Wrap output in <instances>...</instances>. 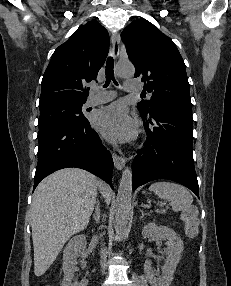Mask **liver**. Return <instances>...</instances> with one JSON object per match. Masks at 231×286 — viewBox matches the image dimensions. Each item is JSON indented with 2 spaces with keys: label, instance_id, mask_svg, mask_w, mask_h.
I'll list each match as a JSON object with an SVG mask.
<instances>
[{
  "label": "liver",
  "instance_id": "1",
  "mask_svg": "<svg viewBox=\"0 0 231 286\" xmlns=\"http://www.w3.org/2000/svg\"><path fill=\"white\" fill-rule=\"evenodd\" d=\"M98 189L109 204L110 188L100 184L91 173L77 168L56 171L37 186L31 205L36 276L49 269L73 234L87 227Z\"/></svg>",
  "mask_w": 231,
  "mask_h": 286
}]
</instances>
